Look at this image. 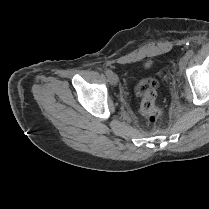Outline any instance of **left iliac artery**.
<instances>
[{
	"label": "left iliac artery",
	"mask_w": 209,
	"mask_h": 209,
	"mask_svg": "<svg viewBox=\"0 0 209 209\" xmlns=\"http://www.w3.org/2000/svg\"><path fill=\"white\" fill-rule=\"evenodd\" d=\"M194 55V51L193 50H188L186 53V56L190 59L191 57H193Z\"/></svg>",
	"instance_id": "obj_1"
}]
</instances>
